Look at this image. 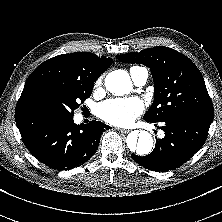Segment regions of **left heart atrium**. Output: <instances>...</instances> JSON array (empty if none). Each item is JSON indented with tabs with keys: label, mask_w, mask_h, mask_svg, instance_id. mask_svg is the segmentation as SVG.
<instances>
[{
	"label": "left heart atrium",
	"mask_w": 222,
	"mask_h": 222,
	"mask_svg": "<svg viewBox=\"0 0 222 222\" xmlns=\"http://www.w3.org/2000/svg\"><path fill=\"white\" fill-rule=\"evenodd\" d=\"M143 111L139 98L109 99L98 107V115L104 121L118 126L131 124Z\"/></svg>",
	"instance_id": "1"
}]
</instances>
